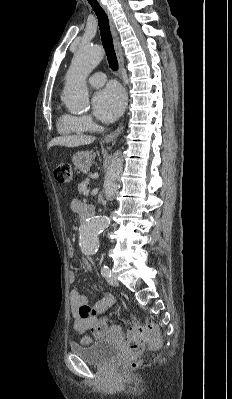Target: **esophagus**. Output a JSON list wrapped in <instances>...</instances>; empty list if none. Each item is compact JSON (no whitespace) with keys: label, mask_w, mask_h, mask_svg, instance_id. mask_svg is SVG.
<instances>
[{"label":"esophagus","mask_w":232,"mask_h":399,"mask_svg":"<svg viewBox=\"0 0 232 399\" xmlns=\"http://www.w3.org/2000/svg\"><path fill=\"white\" fill-rule=\"evenodd\" d=\"M97 2L101 5V7L103 8V10L105 11V13L108 17L109 26H110L111 34H112V38H113L114 50H115L118 64H119V69L122 70V68L124 67V55H123L122 47H121V44H120V41L118 38V34L116 31L115 22L113 20V17L111 15L110 11L108 10L107 6L104 3H102V0H97ZM123 129H124V120L119 124L118 128L114 132H111L105 136V142L109 143V142L115 140L122 133Z\"/></svg>","instance_id":"34e87169"}]
</instances>
